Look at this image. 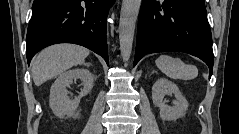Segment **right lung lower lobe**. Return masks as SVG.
Returning <instances> with one entry per match:
<instances>
[{
  "mask_svg": "<svg viewBox=\"0 0 239 134\" xmlns=\"http://www.w3.org/2000/svg\"><path fill=\"white\" fill-rule=\"evenodd\" d=\"M115 0H34L26 37L28 64L56 43L82 45L108 64L106 18Z\"/></svg>",
  "mask_w": 239,
  "mask_h": 134,
  "instance_id": "obj_1",
  "label": "right lung lower lobe"
}]
</instances>
